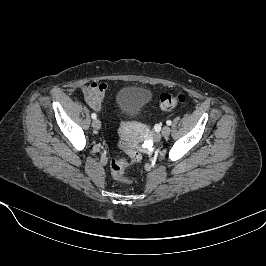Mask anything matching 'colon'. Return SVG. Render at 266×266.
Wrapping results in <instances>:
<instances>
[{"label":"colon","mask_w":266,"mask_h":266,"mask_svg":"<svg viewBox=\"0 0 266 266\" xmlns=\"http://www.w3.org/2000/svg\"><path fill=\"white\" fill-rule=\"evenodd\" d=\"M185 96L182 93H177L175 95L164 93L160 96L159 107L162 110H171L179 104L184 103ZM119 147L128 155V159L120 158L112 160L110 164V170L112 177L120 182L129 183L130 181L124 176L125 171L133 164L141 161L142 154L135 147L121 142Z\"/></svg>","instance_id":"colon-1"}]
</instances>
